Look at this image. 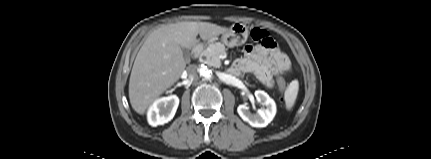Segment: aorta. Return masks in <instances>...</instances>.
Returning <instances> with one entry per match:
<instances>
[{"label": "aorta", "instance_id": "obj_1", "mask_svg": "<svg viewBox=\"0 0 431 159\" xmlns=\"http://www.w3.org/2000/svg\"><path fill=\"white\" fill-rule=\"evenodd\" d=\"M201 77L207 81H212L214 79V74L210 68L207 66H202L200 68Z\"/></svg>", "mask_w": 431, "mask_h": 159}]
</instances>
